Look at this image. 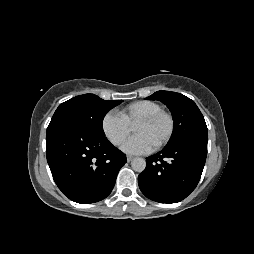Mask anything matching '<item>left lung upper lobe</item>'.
Instances as JSON below:
<instances>
[{
  "mask_svg": "<svg viewBox=\"0 0 254 254\" xmlns=\"http://www.w3.org/2000/svg\"><path fill=\"white\" fill-rule=\"evenodd\" d=\"M147 100H159L172 113L173 132L167 146H172L188 139L208 140V130L202 113L190 98L176 92L157 91Z\"/></svg>",
  "mask_w": 254,
  "mask_h": 254,
  "instance_id": "obj_1",
  "label": "left lung upper lobe"
}]
</instances>
